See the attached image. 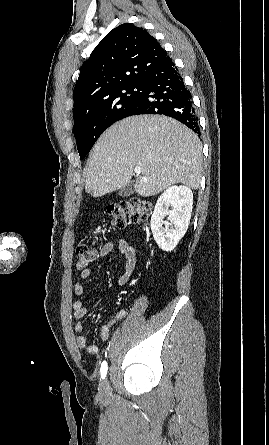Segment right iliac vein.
Returning a JSON list of instances; mask_svg holds the SVG:
<instances>
[{"mask_svg":"<svg viewBox=\"0 0 269 445\" xmlns=\"http://www.w3.org/2000/svg\"><path fill=\"white\" fill-rule=\"evenodd\" d=\"M99 393L102 398H107L109 396L110 387H109V382L107 379L101 383L100 388H99Z\"/></svg>","mask_w":269,"mask_h":445,"instance_id":"1","label":"right iliac vein"}]
</instances>
